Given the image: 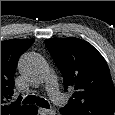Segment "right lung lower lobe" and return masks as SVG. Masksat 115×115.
I'll list each match as a JSON object with an SVG mask.
<instances>
[{"label":"right lung lower lobe","instance_id":"98d812e1","mask_svg":"<svg viewBox=\"0 0 115 115\" xmlns=\"http://www.w3.org/2000/svg\"><path fill=\"white\" fill-rule=\"evenodd\" d=\"M37 107L36 106H34V108L31 110V114H29V115H36L37 114Z\"/></svg>","mask_w":115,"mask_h":115}]
</instances>
